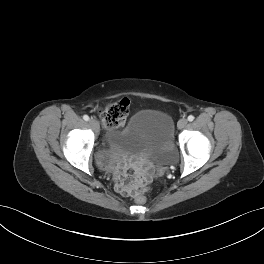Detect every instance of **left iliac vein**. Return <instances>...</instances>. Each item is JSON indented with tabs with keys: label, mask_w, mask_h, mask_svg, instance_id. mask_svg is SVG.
<instances>
[{
	"label": "left iliac vein",
	"mask_w": 264,
	"mask_h": 264,
	"mask_svg": "<svg viewBox=\"0 0 264 264\" xmlns=\"http://www.w3.org/2000/svg\"><path fill=\"white\" fill-rule=\"evenodd\" d=\"M186 125H187V120L185 118L180 119L177 124L179 129L184 128Z\"/></svg>",
	"instance_id": "1"
}]
</instances>
